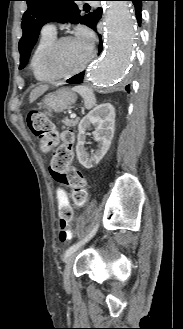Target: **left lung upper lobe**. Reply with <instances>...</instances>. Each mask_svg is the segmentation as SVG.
Segmentation results:
<instances>
[{
  "label": "left lung upper lobe",
  "instance_id": "obj_1",
  "mask_svg": "<svg viewBox=\"0 0 183 329\" xmlns=\"http://www.w3.org/2000/svg\"><path fill=\"white\" fill-rule=\"evenodd\" d=\"M28 10L23 15L21 27L23 36L19 42L20 67L23 69L28 62L31 50L35 45L41 27L52 21L65 23H81L92 28L95 15L88 13L81 15L75 1L79 0H24Z\"/></svg>",
  "mask_w": 183,
  "mask_h": 329
}]
</instances>
